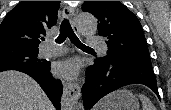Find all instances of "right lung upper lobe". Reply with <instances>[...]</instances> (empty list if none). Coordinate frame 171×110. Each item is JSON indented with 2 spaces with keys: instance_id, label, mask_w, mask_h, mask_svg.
<instances>
[{
  "instance_id": "right-lung-upper-lobe-1",
  "label": "right lung upper lobe",
  "mask_w": 171,
  "mask_h": 110,
  "mask_svg": "<svg viewBox=\"0 0 171 110\" xmlns=\"http://www.w3.org/2000/svg\"><path fill=\"white\" fill-rule=\"evenodd\" d=\"M60 1H21L0 25V46L37 48L40 36L57 22Z\"/></svg>"
}]
</instances>
